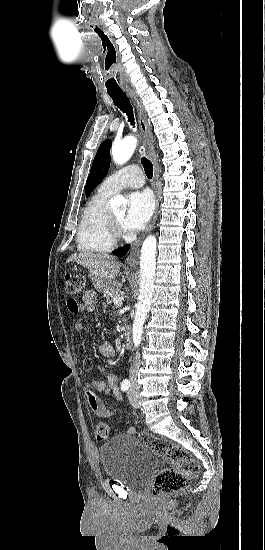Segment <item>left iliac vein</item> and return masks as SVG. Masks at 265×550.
Here are the masks:
<instances>
[{
    "label": "left iliac vein",
    "mask_w": 265,
    "mask_h": 550,
    "mask_svg": "<svg viewBox=\"0 0 265 550\" xmlns=\"http://www.w3.org/2000/svg\"><path fill=\"white\" fill-rule=\"evenodd\" d=\"M128 399H129L130 404H131L133 407H135V408H139V407H140L139 399H138V393H137L133 388H131V389L128 391Z\"/></svg>",
    "instance_id": "left-iliac-vein-1"
}]
</instances>
